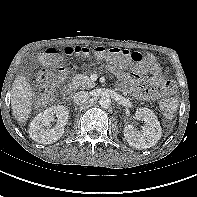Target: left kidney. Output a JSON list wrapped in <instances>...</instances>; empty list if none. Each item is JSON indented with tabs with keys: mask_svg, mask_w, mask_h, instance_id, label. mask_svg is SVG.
I'll return each instance as SVG.
<instances>
[{
	"mask_svg": "<svg viewBox=\"0 0 197 197\" xmlns=\"http://www.w3.org/2000/svg\"><path fill=\"white\" fill-rule=\"evenodd\" d=\"M136 119L144 121L141 131H137L132 125L124 128V137L128 144L138 149H146L154 146L161 138L162 130L154 112L148 108H139L135 113Z\"/></svg>",
	"mask_w": 197,
	"mask_h": 197,
	"instance_id": "obj_1",
	"label": "left kidney"
}]
</instances>
